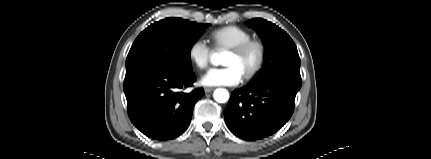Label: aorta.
<instances>
[{
    "instance_id": "1",
    "label": "aorta",
    "mask_w": 431,
    "mask_h": 159,
    "mask_svg": "<svg viewBox=\"0 0 431 159\" xmlns=\"http://www.w3.org/2000/svg\"><path fill=\"white\" fill-rule=\"evenodd\" d=\"M211 62L213 65H220L223 62V56L220 53H213L211 55ZM213 97L218 103H225L229 99V93L226 89L218 88L214 91Z\"/></svg>"
}]
</instances>
